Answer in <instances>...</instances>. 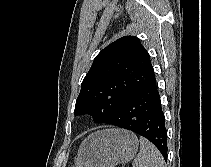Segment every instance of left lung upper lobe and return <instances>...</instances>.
Listing matches in <instances>:
<instances>
[{
    "instance_id": "obj_1",
    "label": "left lung upper lobe",
    "mask_w": 211,
    "mask_h": 167,
    "mask_svg": "<svg viewBox=\"0 0 211 167\" xmlns=\"http://www.w3.org/2000/svg\"><path fill=\"white\" fill-rule=\"evenodd\" d=\"M153 76L150 56L140 40L121 37L95 57L82 82L75 115L90 114L95 123H107Z\"/></svg>"
}]
</instances>
